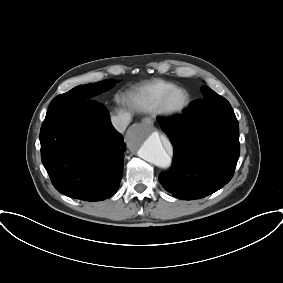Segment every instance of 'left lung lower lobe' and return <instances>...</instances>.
<instances>
[{
    "label": "left lung lower lobe",
    "mask_w": 283,
    "mask_h": 283,
    "mask_svg": "<svg viewBox=\"0 0 283 283\" xmlns=\"http://www.w3.org/2000/svg\"><path fill=\"white\" fill-rule=\"evenodd\" d=\"M233 115L230 103L214 92L181 116L158 118L174 147L171 168L159 176L168 192L183 200L199 199L231 180L240 154L239 132L226 128Z\"/></svg>",
    "instance_id": "0a47b994"
}]
</instances>
